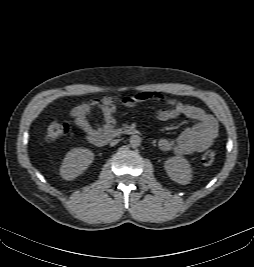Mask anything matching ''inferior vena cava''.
Instances as JSON below:
<instances>
[{"instance_id":"602c4592","label":"inferior vena cava","mask_w":254,"mask_h":267,"mask_svg":"<svg viewBox=\"0 0 254 267\" xmlns=\"http://www.w3.org/2000/svg\"><path fill=\"white\" fill-rule=\"evenodd\" d=\"M118 142H119V140H113V141H111L110 145H111V146H114V145H116Z\"/></svg>"}]
</instances>
